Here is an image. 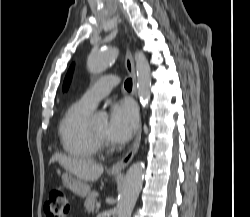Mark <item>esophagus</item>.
I'll list each match as a JSON object with an SVG mask.
<instances>
[{"instance_id": "esophagus-1", "label": "esophagus", "mask_w": 250, "mask_h": 217, "mask_svg": "<svg viewBox=\"0 0 250 217\" xmlns=\"http://www.w3.org/2000/svg\"><path fill=\"white\" fill-rule=\"evenodd\" d=\"M125 65H126V69L129 73V75L132 78L133 93L136 96V93H137L136 72H135L134 59H133V56H132V53L130 50H128L126 53ZM141 136H142V128H141V123H140L138 133H137L136 138L133 142V145L131 146L130 150L126 153V155L111 167L112 172H122L130 164V162L133 160L135 154L137 153V151L139 149V146L141 143Z\"/></svg>"}]
</instances>
